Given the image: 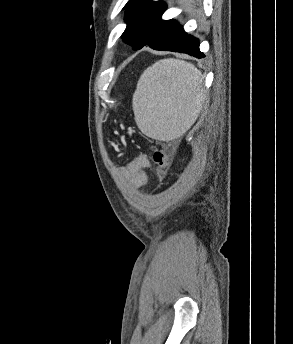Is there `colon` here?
Wrapping results in <instances>:
<instances>
[{"mask_svg": "<svg viewBox=\"0 0 293 344\" xmlns=\"http://www.w3.org/2000/svg\"><path fill=\"white\" fill-rule=\"evenodd\" d=\"M152 161L156 167L157 175L163 177L170 165V151L168 147H154Z\"/></svg>", "mask_w": 293, "mask_h": 344, "instance_id": "1", "label": "colon"}]
</instances>
